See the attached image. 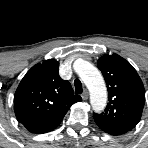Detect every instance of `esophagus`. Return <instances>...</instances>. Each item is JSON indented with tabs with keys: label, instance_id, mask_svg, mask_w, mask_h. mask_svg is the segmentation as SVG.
Instances as JSON below:
<instances>
[{
	"label": "esophagus",
	"instance_id": "esophagus-1",
	"mask_svg": "<svg viewBox=\"0 0 148 148\" xmlns=\"http://www.w3.org/2000/svg\"><path fill=\"white\" fill-rule=\"evenodd\" d=\"M88 96H89L88 90L87 89H84L81 97L83 98V100H87L88 99Z\"/></svg>",
	"mask_w": 148,
	"mask_h": 148
}]
</instances>
